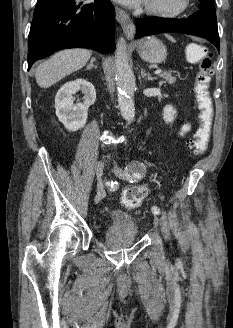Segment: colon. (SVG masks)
<instances>
[{
    "label": "colon",
    "mask_w": 233,
    "mask_h": 328,
    "mask_svg": "<svg viewBox=\"0 0 233 328\" xmlns=\"http://www.w3.org/2000/svg\"><path fill=\"white\" fill-rule=\"evenodd\" d=\"M191 60L200 62V69L194 85L195 106L199 111V125L192 138L188 142V148L193 154H202L208 146L214 116L213 101L210 95V83L212 78L211 54L204 48L192 46L188 50ZM146 186H133L126 189L122 195V204L128 209L138 207L147 197Z\"/></svg>",
    "instance_id": "colon-1"
}]
</instances>
